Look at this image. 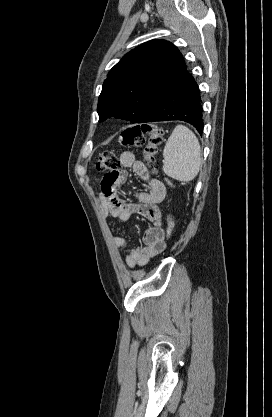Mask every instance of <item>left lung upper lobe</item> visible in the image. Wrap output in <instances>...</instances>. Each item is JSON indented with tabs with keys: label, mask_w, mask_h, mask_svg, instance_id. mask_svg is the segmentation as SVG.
<instances>
[{
	"label": "left lung upper lobe",
	"mask_w": 272,
	"mask_h": 417,
	"mask_svg": "<svg viewBox=\"0 0 272 417\" xmlns=\"http://www.w3.org/2000/svg\"><path fill=\"white\" fill-rule=\"evenodd\" d=\"M185 69L182 54L168 41L151 40L131 50L104 81L99 121L114 116L141 123Z\"/></svg>",
	"instance_id": "1"
}]
</instances>
